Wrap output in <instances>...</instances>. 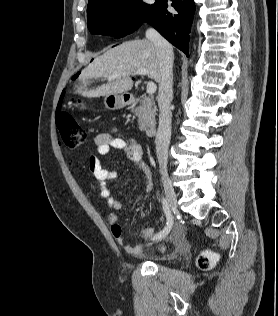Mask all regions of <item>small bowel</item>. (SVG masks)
<instances>
[{
  "mask_svg": "<svg viewBox=\"0 0 278 316\" xmlns=\"http://www.w3.org/2000/svg\"><path fill=\"white\" fill-rule=\"evenodd\" d=\"M116 132V128H112L111 132H105L98 134L95 137L96 152L99 155H108L112 149L123 151L126 159L137 164V168L144 174V187L146 191L152 189V174L150 168L142 161L143 150L141 145L134 141H126L123 138L113 135ZM88 166L97 180L101 196L106 200L107 205L113 210H120L122 205L120 201L112 194V190L109 187V182L117 177L116 171L104 166L99 158L95 155H91L88 160ZM119 216L117 213H110L108 216V222L110 224L111 233L114 236L116 242L124 246L125 251L128 254L136 255L140 252L138 245L125 244L122 227L118 223ZM158 234V233H157ZM153 228H144L140 230V235L143 238H152L155 235ZM174 236L177 241L182 242V231L180 226H176Z\"/></svg>",
  "mask_w": 278,
  "mask_h": 316,
  "instance_id": "c3829d8e",
  "label": "small bowel"
}]
</instances>
